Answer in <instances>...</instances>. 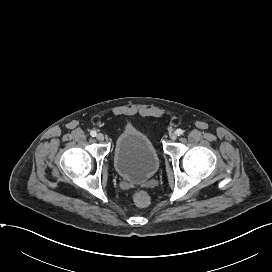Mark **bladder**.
Wrapping results in <instances>:
<instances>
[{
  "mask_svg": "<svg viewBox=\"0 0 272 272\" xmlns=\"http://www.w3.org/2000/svg\"><path fill=\"white\" fill-rule=\"evenodd\" d=\"M113 162L120 177L135 182L152 177L160 165L159 155L152 141L134 128H127L117 137Z\"/></svg>",
  "mask_w": 272,
  "mask_h": 272,
  "instance_id": "obj_1",
  "label": "bladder"
}]
</instances>
